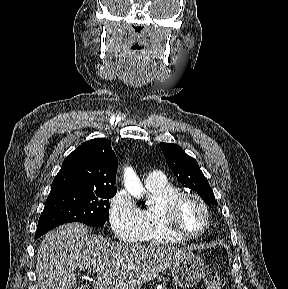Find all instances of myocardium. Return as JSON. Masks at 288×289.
Returning <instances> with one entry per match:
<instances>
[{"instance_id": "obj_1", "label": "myocardium", "mask_w": 288, "mask_h": 289, "mask_svg": "<svg viewBox=\"0 0 288 289\" xmlns=\"http://www.w3.org/2000/svg\"><path fill=\"white\" fill-rule=\"evenodd\" d=\"M186 199H193L198 202L205 213V225L199 232L188 233L178 225L177 209ZM161 216L164 227L172 234L185 240L197 239L207 233L211 227V213L207 203L200 195L193 192L180 191L167 198L162 205Z\"/></svg>"}]
</instances>
